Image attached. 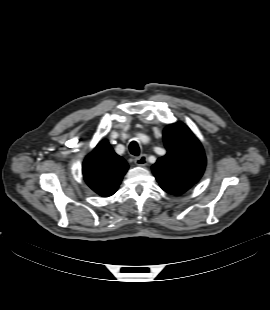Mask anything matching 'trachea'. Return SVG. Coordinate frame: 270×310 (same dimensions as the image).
<instances>
[{
	"label": "trachea",
	"mask_w": 270,
	"mask_h": 310,
	"mask_svg": "<svg viewBox=\"0 0 270 310\" xmlns=\"http://www.w3.org/2000/svg\"><path fill=\"white\" fill-rule=\"evenodd\" d=\"M129 150H130V153L134 156H139V154H140V148H139V145L136 141H132L130 143Z\"/></svg>",
	"instance_id": "obj_1"
}]
</instances>
